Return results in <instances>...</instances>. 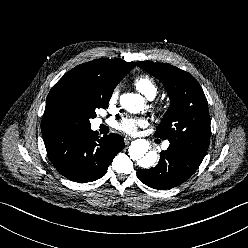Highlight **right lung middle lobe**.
<instances>
[{
	"mask_svg": "<svg viewBox=\"0 0 248 248\" xmlns=\"http://www.w3.org/2000/svg\"><path fill=\"white\" fill-rule=\"evenodd\" d=\"M112 91L104 90L97 83L75 84L50 91L41 130L56 132L63 130L90 129V119L96 110L106 108Z\"/></svg>",
	"mask_w": 248,
	"mask_h": 248,
	"instance_id": "right-lung-middle-lobe-1",
	"label": "right lung middle lobe"
}]
</instances>
